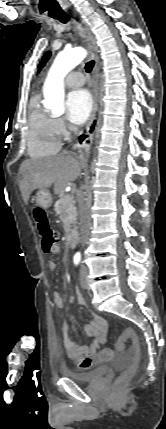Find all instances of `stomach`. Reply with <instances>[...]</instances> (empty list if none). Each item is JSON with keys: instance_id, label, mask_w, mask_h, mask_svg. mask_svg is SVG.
<instances>
[{"instance_id": "0dacf381", "label": "stomach", "mask_w": 166, "mask_h": 429, "mask_svg": "<svg viewBox=\"0 0 166 429\" xmlns=\"http://www.w3.org/2000/svg\"><path fill=\"white\" fill-rule=\"evenodd\" d=\"M35 201H36V204L38 206H40L43 209H47L52 204V196H51L50 192L46 189L39 190L36 193Z\"/></svg>"}]
</instances>
